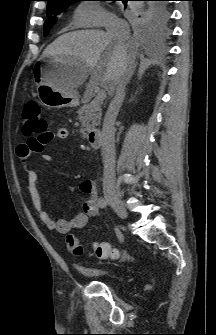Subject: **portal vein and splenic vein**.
Returning a JSON list of instances; mask_svg holds the SVG:
<instances>
[{
    "label": "portal vein and splenic vein",
    "instance_id": "18ae733b",
    "mask_svg": "<svg viewBox=\"0 0 216 335\" xmlns=\"http://www.w3.org/2000/svg\"><path fill=\"white\" fill-rule=\"evenodd\" d=\"M106 98V92L104 90L99 91L95 97V101L102 102Z\"/></svg>",
    "mask_w": 216,
    "mask_h": 335
}]
</instances>
